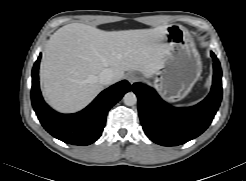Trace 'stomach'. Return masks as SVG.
<instances>
[{"label":"stomach","mask_w":246,"mask_h":181,"mask_svg":"<svg viewBox=\"0 0 246 181\" xmlns=\"http://www.w3.org/2000/svg\"><path fill=\"white\" fill-rule=\"evenodd\" d=\"M168 52L154 76V86L169 102L185 98L202 72L200 55L185 28L169 26L165 32Z\"/></svg>","instance_id":"0dacf381"}]
</instances>
